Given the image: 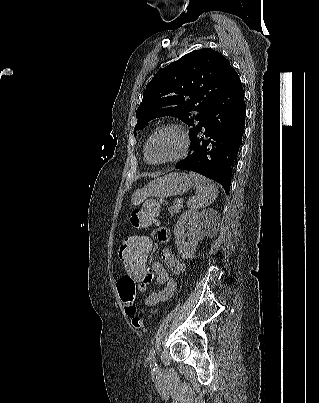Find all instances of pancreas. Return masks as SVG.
Masks as SVG:
<instances>
[{
    "mask_svg": "<svg viewBox=\"0 0 319 403\" xmlns=\"http://www.w3.org/2000/svg\"><path fill=\"white\" fill-rule=\"evenodd\" d=\"M183 208L182 204H178L177 202H174L173 206L169 207V213L171 215L177 214L181 209Z\"/></svg>",
    "mask_w": 319,
    "mask_h": 403,
    "instance_id": "1",
    "label": "pancreas"
}]
</instances>
